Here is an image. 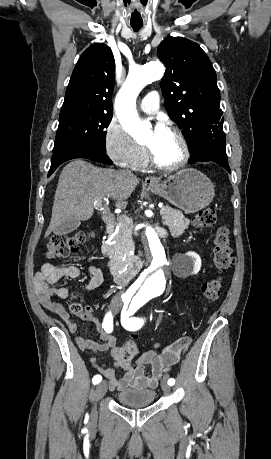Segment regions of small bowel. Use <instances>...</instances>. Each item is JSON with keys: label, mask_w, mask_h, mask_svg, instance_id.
I'll return each mask as SVG.
<instances>
[{"label": "small bowel", "mask_w": 271, "mask_h": 459, "mask_svg": "<svg viewBox=\"0 0 271 459\" xmlns=\"http://www.w3.org/2000/svg\"><path fill=\"white\" fill-rule=\"evenodd\" d=\"M88 272L90 280L83 289L91 291L101 285L103 275L96 267H90ZM81 274V269L74 265L55 266L44 264L34 278L35 294L40 304L65 321L72 333L77 332V325L69 319V314L62 304L52 301L51 298L67 299L70 296V290L63 286H55V284L63 278L75 279L81 276ZM83 318L95 322L99 333V340L87 339L77 335L75 337L76 343L80 349L89 350L94 354L102 352L110 354L113 359L112 366L99 364L96 358H91L90 362L106 378L109 389L112 391L123 390L128 387L155 388L162 375L178 362L181 354L191 343V338L184 336L162 348L161 351H157L156 349L146 350L138 357L135 364L131 366L121 359L116 338L104 330L102 323L96 321L91 307H85ZM156 348H158V345H156ZM148 366L150 367L149 372L146 370ZM118 368L125 371L120 377H117Z\"/></svg>", "instance_id": "obj_1"}]
</instances>
